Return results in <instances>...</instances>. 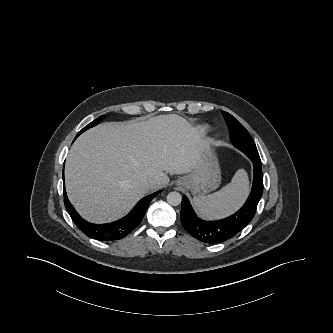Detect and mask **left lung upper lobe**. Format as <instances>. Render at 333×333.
<instances>
[{
  "mask_svg": "<svg viewBox=\"0 0 333 333\" xmlns=\"http://www.w3.org/2000/svg\"><path fill=\"white\" fill-rule=\"evenodd\" d=\"M222 115L230 132V140L232 144L244 152L246 155L253 153L258 154L256 145L244 126L234 118L231 114L222 111Z\"/></svg>",
  "mask_w": 333,
  "mask_h": 333,
  "instance_id": "5c2ea615",
  "label": "left lung upper lobe"
}]
</instances>
